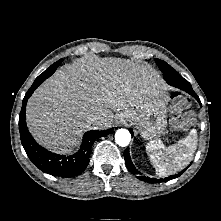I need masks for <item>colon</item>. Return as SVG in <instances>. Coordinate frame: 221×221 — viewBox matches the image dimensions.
<instances>
[{"instance_id":"colon-1","label":"colon","mask_w":221,"mask_h":221,"mask_svg":"<svg viewBox=\"0 0 221 221\" xmlns=\"http://www.w3.org/2000/svg\"><path fill=\"white\" fill-rule=\"evenodd\" d=\"M188 99L180 94L176 95L172 101L173 117L171 119L172 130H179L188 125L191 121L190 116H185L183 113L188 108Z\"/></svg>"}]
</instances>
